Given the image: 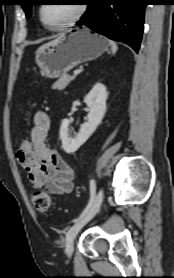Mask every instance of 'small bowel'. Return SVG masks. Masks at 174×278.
<instances>
[{"instance_id":"small-bowel-1","label":"small bowel","mask_w":174,"mask_h":278,"mask_svg":"<svg viewBox=\"0 0 174 278\" xmlns=\"http://www.w3.org/2000/svg\"><path fill=\"white\" fill-rule=\"evenodd\" d=\"M50 125L46 112L35 113L30 132L32 149L26 153L17 152V160L33 188L47 194L63 195L73 190L74 170L56 150L47 146Z\"/></svg>"}]
</instances>
